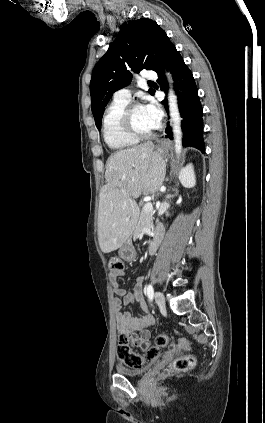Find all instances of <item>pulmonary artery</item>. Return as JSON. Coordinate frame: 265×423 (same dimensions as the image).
<instances>
[{
	"instance_id": "e3ab8cb5",
	"label": "pulmonary artery",
	"mask_w": 265,
	"mask_h": 423,
	"mask_svg": "<svg viewBox=\"0 0 265 423\" xmlns=\"http://www.w3.org/2000/svg\"><path fill=\"white\" fill-rule=\"evenodd\" d=\"M157 78V74L155 71H148L144 74L145 80H155ZM114 100L120 102H130L131 100V90L128 87L121 88L114 93Z\"/></svg>"
}]
</instances>
